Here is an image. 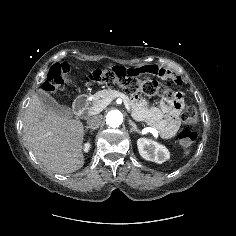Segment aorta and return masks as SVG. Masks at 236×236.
<instances>
[{
    "label": "aorta",
    "instance_id": "aorta-1",
    "mask_svg": "<svg viewBox=\"0 0 236 236\" xmlns=\"http://www.w3.org/2000/svg\"><path fill=\"white\" fill-rule=\"evenodd\" d=\"M123 122V114L119 110H111L106 116V123L110 127H118Z\"/></svg>",
    "mask_w": 236,
    "mask_h": 236
}]
</instances>
